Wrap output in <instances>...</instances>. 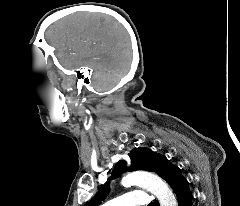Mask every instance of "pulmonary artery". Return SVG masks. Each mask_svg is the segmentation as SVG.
Segmentation results:
<instances>
[{
	"label": "pulmonary artery",
	"mask_w": 240,
	"mask_h": 206,
	"mask_svg": "<svg viewBox=\"0 0 240 206\" xmlns=\"http://www.w3.org/2000/svg\"><path fill=\"white\" fill-rule=\"evenodd\" d=\"M150 201L151 199L146 192L134 190L109 200L102 206H140L148 205Z\"/></svg>",
	"instance_id": "pulmonary-artery-1"
}]
</instances>
